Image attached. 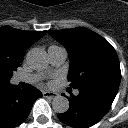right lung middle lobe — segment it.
<instances>
[{"label": "right lung middle lobe", "instance_id": "right-lung-middle-lobe-1", "mask_svg": "<svg viewBox=\"0 0 128 128\" xmlns=\"http://www.w3.org/2000/svg\"><path fill=\"white\" fill-rule=\"evenodd\" d=\"M17 70L16 66L0 62V85L9 83L13 71Z\"/></svg>", "mask_w": 128, "mask_h": 128}]
</instances>
